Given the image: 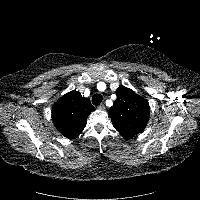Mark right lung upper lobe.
<instances>
[{"label":"right lung upper lobe","instance_id":"cb5924a9","mask_svg":"<svg viewBox=\"0 0 200 200\" xmlns=\"http://www.w3.org/2000/svg\"><path fill=\"white\" fill-rule=\"evenodd\" d=\"M95 108L88 98L76 90L63 95L52 108V120L57 130L66 138L79 136L86 126L89 114Z\"/></svg>","mask_w":200,"mask_h":200}]
</instances>
